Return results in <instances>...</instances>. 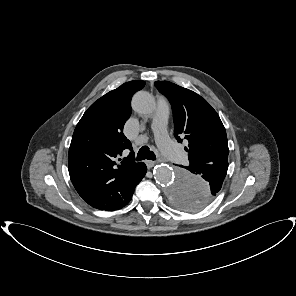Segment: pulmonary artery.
I'll list each match as a JSON object with an SVG mask.
<instances>
[{"label": "pulmonary artery", "mask_w": 296, "mask_h": 296, "mask_svg": "<svg viewBox=\"0 0 296 296\" xmlns=\"http://www.w3.org/2000/svg\"><path fill=\"white\" fill-rule=\"evenodd\" d=\"M169 111L170 104L168 100L163 96H159L157 108L151 123V129L154 132L156 142L163 154L170 160L181 162L184 159V153L169 139L166 131Z\"/></svg>", "instance_id": "e3ab8cb5"}]
</instances>
